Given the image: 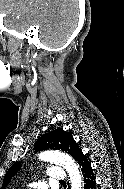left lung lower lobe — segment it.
Listing matches in <instances>:
<instances>
[{
    "mask_svg": "<svg viewBox=\"0 0 124 189\" xmlns=\"http://www.w3.org/2000/svg\"><path fill=\"white\" fill-rule=\"evenodd\" d=\"M77 163L83 175L84 189H96V180L90 161L84 154H82Z\"/></svg>",
    "mask_w": 124,
    "mask_h": 189,
    "instance_id": "left-lung-lower-lobe-1",
    "label": "left lung lower lobe"
}]
</instances>
